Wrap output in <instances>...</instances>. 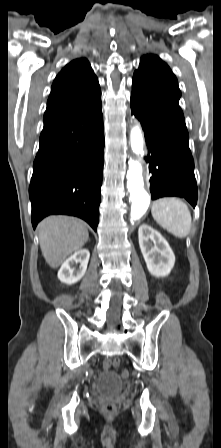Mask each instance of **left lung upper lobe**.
Returning a JSON list of instances; mask_svg holds the SVG:
<instances>
[{
    "label": "left lung upper lobe",
    "mask_w": 221,
    "mask_h": 448,
    "mask_svg": "<svg viewBox=\"0 0 221 448\" xmlns=\"http://www.w3.org/2000/svg\"><path fill=\"white\" fill-rule=\"evenodd\" d=\"M132 89L168 105L183 115L179 107L181 93L178 81L169 66L156 55L141 57L139 68L134 72Z\"/></svg>",
    "instance_id": "5c2ea615"
}]
</instances>
